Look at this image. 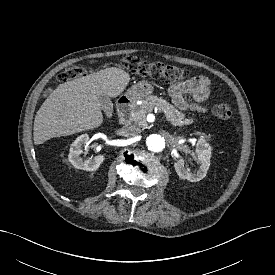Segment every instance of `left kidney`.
<instances>
[{"label":"left kidney","mask_w":275,"mask_h":275,"mask_svg":"<svg viewBox=\"0 0 275 275\" xmlns=\"http://www.w3.org/2000/svg\"><path fill=\"white\" fill-rule=\"evenodd\" d=\"M196 155L200 163V167L197 171H191L189 168H186L183 159H179L174 163L175 171L181 179L197 182L206 176L210 166L211 147L203 138L197 141Z\"/></svg>","instance_id":"5707ae66"}]
</instances>
